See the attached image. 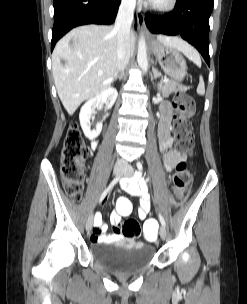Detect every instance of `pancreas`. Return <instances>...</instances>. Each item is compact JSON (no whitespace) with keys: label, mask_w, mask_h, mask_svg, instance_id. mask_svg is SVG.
Returning a JSON list of instances; mask_svg holds the SVG:
<instances>
[{"label":"pancreas","mask_w":247,"mask_h":304,"mask_svg":"<svg viewBox=\"0 0 247 304\" xmlns=\"http://www.w3.org/2000/svg\"><path fill=\"white\" fill-rule=\"evenodd\" d=\"M160 90L163 96L167 97L172 92H177V91L185 92L187 91V87H185L184 85H180L175 81H168L163 85H161Z\"/></svg>","instance_id":"1"}]
</instances>
